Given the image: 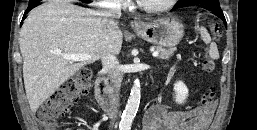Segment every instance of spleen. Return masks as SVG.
Segmentation results:
<instances>
[{
  "instance_id": "3e777b00",
  "label": "spleen",
  "mask_w": 257,
  "mask_h": 130,
  "mask_svg": "<svg viewBox=\"0 0 257 130\" xmlns=\"http://www.w3.org/2000/svg\"><path fill=\"white\" fill-rule=\"evenodd\" d=\"M199 32L201 35L202 40L205 42V44H210V50L209 55L212 59H218L219 58V52L217 45L215 43H211V37L208 33L207 29L203 26L199 28Z\"/></svg>"
}]
</instances>
